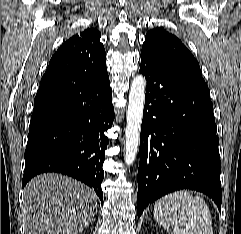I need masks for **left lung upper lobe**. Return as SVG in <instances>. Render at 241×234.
Instances as JSON below:
<instances>
[{
    "label": "left lung upper lobe",
    "instance_id": "obj_1",
    "mask_svg": "<svg viewBox=\"0 0 241 234\" xmlns=\"http://www.w3.org/2000/svg\"><path fill=\"white\" fill-rule=\"evenodd\" d=\"M141 53L147 54L166 67L202 78L197 60L185 45L164 29L148 31Z\"/></svg>",
    "mask_w": 241,
    "mask_h": 234
}]
</instances>
